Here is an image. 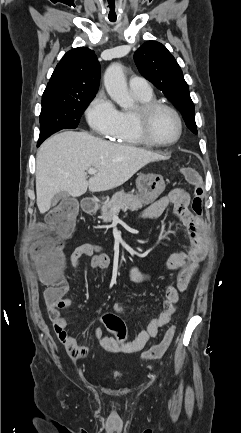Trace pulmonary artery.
<instances>
[{
    "label": "pulmonary artery",
    "instance_id": "1",
    "mask_svg": "<svg viewBox=\"0 0 241 433\" xmlns=\"http://www.w3.org/2000/svg\"><path fill=\"white\" fill-rule=\"evenodd\" d=\"M130 88L133 92L148 95L152 93V88L148 80L140 76H134L129 81Z\"/></svg>",
    "mask_w": 241,
    "mask_h": 433
}]
</instances>
